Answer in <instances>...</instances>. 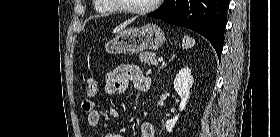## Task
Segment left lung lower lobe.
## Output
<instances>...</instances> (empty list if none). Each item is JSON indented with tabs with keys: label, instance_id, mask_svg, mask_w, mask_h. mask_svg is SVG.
<instances>
[{
	"label": "left lung lower lobe",
	"instance_id": "left-lung-lower-lobe-1",
	"mask_svg": "<svg viewBox=\"0 0 280 137\" xmlns=\"http://www.w3.org/2000/svg\"><path fill=\"white\" fill-rule=\"evenodd\" d=\"M229 0H167L151 17L204 36L221 57Z\"/></svg>",
	"mask_w": 280,
	"mask_h": 137
}]
</instances>
